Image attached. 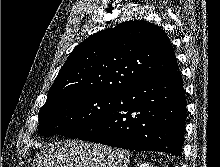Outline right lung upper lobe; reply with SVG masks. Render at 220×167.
<instances>
[{
  "label": "right lung upper lobe",
  "mask_w": 220,
  "mask_h": 167,
  "mask_svg": "<svg viewBox=\"0 0 220 167\" xmlns=\"http://www.w3.org/2000/svg\"><path fill=\"white\" fill-rule=\"evenodd\" d=\"M179 69L160 27L130 20L89 36L74 48L48 92L47 101L72 92L119 93Z\"/></svg>",
  "instance_id": "1"
}]
</instances>
